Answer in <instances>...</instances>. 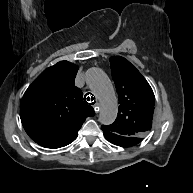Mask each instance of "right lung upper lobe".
<instances>
[{
  "instance_id": "right-lung-upper-lobe-1",
  "label": "right lung upper lobe",
  "mask_w": 193,
  "mask_h": 193,
  "mask_svg": "<svg viewBox=\"0 0 193 193\" xmlns=\"http://www.w3.org/2000/svg\"><path fill=\"white\" fill-rule=\"evenodd\" d=\"M77 71L73 63L58 62L44 70L23 96V127L43 147L54 149L70 144L85 119L95 114L74 85Z\"/></svg>"
}]
</instances>
